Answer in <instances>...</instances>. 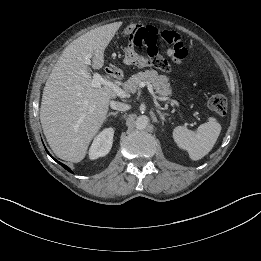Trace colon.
Wrapping results in <instances>:
<instances>
[{"label": "colon", "instance_id": "obj_1", "mask_svg": "<svg viewBox=\"0 0 261 261\" xmlns=\"http://www.w3.org/2000/svg\"><path fill=\"white\" fill-rule=\"evenodd\" d=\"M121 34L129 37V41L134 46L145 48L150 64L161 71L168 70V63L159 53L158 40L171 45L178 56H186L184 45L176 29L170 31L168 28H158L148 19L140 24L131 21L128 26L122 27ZM208 107L215 114L224 116L227 113V100L223 95H214L208 100Z\"/></svg>", "mask_w": 261, "mask_h": 261}]
</instances>
